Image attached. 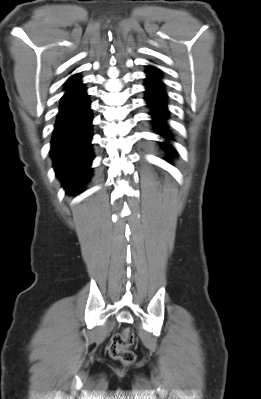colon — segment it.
Instances as JSON below:
<instances>
[{"label":"colon","instance_id":"colon-1","mask_svg":"<svg viewBox=\"0 0 261 399\" xmlns=\"http://www.w3.org/2000/svg\"><path fill=\"white\" fill-rule=\"evenodd\" d=\"M134 341L135 333L131 328H125L121 332L114 334L107 348L110 357L124 364L133 363L135 355L129 350V347Z\"/></svg>","mask_w":261,"mask_h":399}]
</instances>
